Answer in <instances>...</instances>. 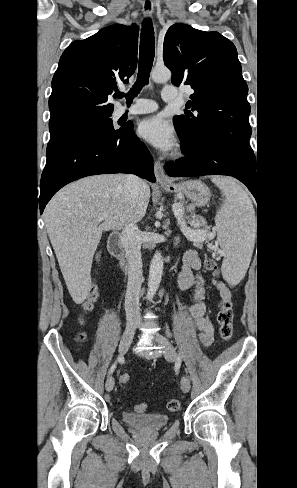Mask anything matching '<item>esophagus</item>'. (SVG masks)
<instances>
[{
    "mask_svg": "<svg viewBox=\"0 0 297 488\" xmlns=\"http://www.w3.org/2000/svg\"><path fill=\"white\" fill-rule=\"evenodd\" d=\"M153 3L150 0H146L143 3L142 11L145 17H150L153 13ZM154 173L157 182L165 184L169 182V178L164 172L163 165L160 161H155L154 163Z\"/></svg>",
    "mask_w": 297,
    "mask_h": 488,
    "instance_id": "esophagus-1",
    "label": "esophagus"
}]
</instances>
